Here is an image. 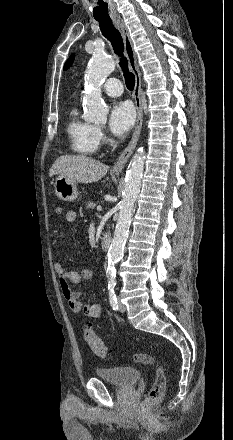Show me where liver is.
<instances>
[{"instance_id": "obj_1", "label": "liver", "mask_w": 233, "mask_h": 440, "mask_svg": "<svg viewBox=\"0 0 233 440\" xmlns=\"http://www.w3.org/2000/svg\"><path fill=\"white\" fill-rule=\"evenodd\" d=\"M108 166L84 155H64L56 159L49 176L59 174L80 183L99 181L106 175Z\"/></svg>"}]
</instances>
